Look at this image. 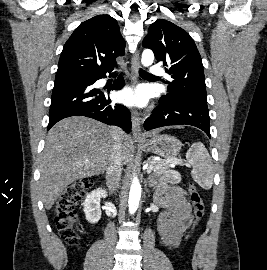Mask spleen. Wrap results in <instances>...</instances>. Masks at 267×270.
<instances>
[{
    "mask_svg": "<svg viewBox=\"0 0 267 270\" xmlns=\"http://www.w3.org/2000/svg\"><path fill=\"white\" fill-rule=\"evenodd\" d=\"M187 160L193 165L191 175L196 183L204 189H210L213 184V164L211 157L201 142H195L186 153ZM176 183H179L181 177L178 173L175 175Z\"/></svg>",
    "mask_w": 267,
    "mask_h": 270,
    "instance_id": "3e777b00",
    "label": "spleen"
}]
</instances>
